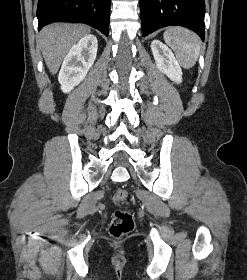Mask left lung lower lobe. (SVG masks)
<instances>
[{
  "instance_id": "left-lung-lower-lobe-1",
  "label": "left lung lower lobe",
  "mask_w": 247,
  "mask_h": 280,
  "mask_svg": "<svg viewBox=\"0 0 247 280\" xmlns=\"http://www.w3.org/2000/svg\"><path fill=\"white\" fill-rule=\"evenodd\" d=\"M139 4L143 37L162 27L178 25L204 40V0H139Z\"/></svg>"
}]
</instances>
